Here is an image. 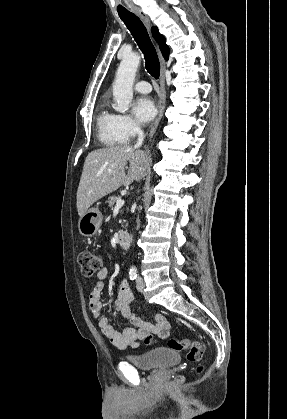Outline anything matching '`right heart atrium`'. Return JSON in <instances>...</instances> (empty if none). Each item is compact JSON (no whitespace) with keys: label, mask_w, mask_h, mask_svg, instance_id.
Wrapping results in <instances>:
<instances>
[{"label":"right heart atrium","mask_w":287,"mask_h":419,"mask_svg":"<svg viewBox=\"0 0 287 419\" xmlns=\"http://www.w3.org/2000/svg\"><path fill=\"white\" fill-rule=\"evenodd\" d=\"M118 130L124 140L130 141L134 139L140 132V124L127 114L117 115Z\"/></svg>","instance_id":"1"}]
</instances>
